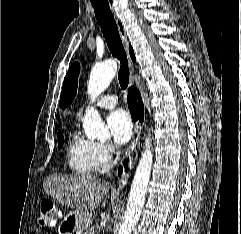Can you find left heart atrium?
I'll return each mask as SVG.
<instances>
[{"instance_id": "1", "label": "left heart atrium", "mask_w": 241, "mask_h": 234, "mask_svg": "<svg viewBox=\"0 0 241 234\" xmlns=\"http://www.w3.org/2000/svg\"><path fill=\"white\" fill-rule=\"evenodd\" d=\"M107 124L115 143L123 145L129 141L133 133V123L127 112L122 109L111 112Z\"/></svg>"}]
</instances>
